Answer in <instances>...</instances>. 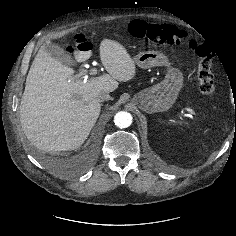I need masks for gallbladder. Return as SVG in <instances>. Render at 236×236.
Masks as SVG:
<instances>
[{
  "label": "gallbladder",
  "mask_w": 236,
  "mask_h": 236,
  "mask_svg": "<svg viewBox=\"0 0 236 236\" xmlns=\"http://www.w3.org/2000/svg\"><path fill=\"white\" fill-rule=\"evenodd\" d=\"M46 51L61 64L74 66L75 60L69 56L60 46L56 44H44Z\"/></svg>",
  "instance_id": "1"
}]
</instances>
